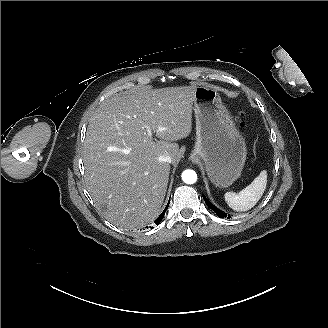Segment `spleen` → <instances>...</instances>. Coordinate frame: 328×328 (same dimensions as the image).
I'll return each instance as SVG.
<instances>
[{"mask_svg":"<svg viewBox=\"0 0 328 328\" xmlns=\"http://www.w3.org/2000/svg\"><path fill=\"white\" fill-rule=\"evenodd\" d=\"M267 185V171L260 174L239 193L226 192L224 197L228 206L234 211H248L253 208L262 197Z\"/></svg>","mask_w":328,"mask_h":328,"instance_id":"3e777b00","label":"spleen"}]
</instances>
